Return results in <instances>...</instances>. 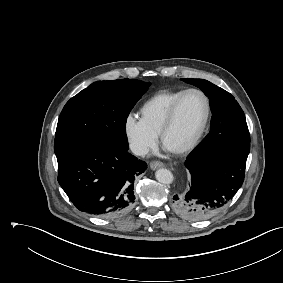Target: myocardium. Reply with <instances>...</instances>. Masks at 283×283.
I'll list each match as a JSON object with an SVG mask.
<instances>
[{
	"label": "myocardium",
	"mask_w": 283,
	"mask_h": 283,
	"mask_svg": "<svg viewBox=\"0 0 283 283\" xmlns=\"http://www.w3.org/2000/svg\"><path fill=\"white\" fill-rule=\"evenodd\" d=\"M192 93H196V94H199L203 99H204V102H205V116H204V119H203V122L197 132V134L195 135V137L192 139V141L187 144L186 146L178 149V150H175L173 151V153L175 154H178V155H181V154H185V153H188L190 151H192L198 144L199 142L201 141L207 127H208V124H209V121H210V118H211V102H210V99L208 97V95L200 90V89H197V88H191V89H187L185 90L176 100L175 102L172 104L171 108L169 109L168 113H167V116L161 126V129L159 131V139L160 141L162 142V144H164V138H165V135L166 133L169 131V129L172 127L174 121H175V118H176V115H177V112H178V109L183 101V99L189 95V94H192Z\"/></svg>",
	"instance_id": "f54148a6"
}]
</instances>
